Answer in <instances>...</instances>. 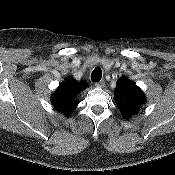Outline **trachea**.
Listing matches in <instances>:
<instances>
[{"label":"trachea","mask_w":175,"mask_h":175,"mask_svg":"<svg viewBox=\"0 0 175 175\" xmlns=\"http://www.w3.org/2000/svg\"><path fill=\"white\" fill-rule=\"evenodd\" d=\"M102 77V70L100 67H96L91 73V80L94 82H99Z\"/></svg>","instance_id":"obj_1"}]
</instances>
